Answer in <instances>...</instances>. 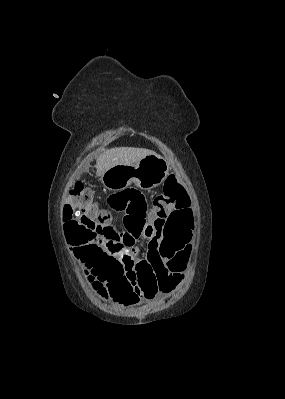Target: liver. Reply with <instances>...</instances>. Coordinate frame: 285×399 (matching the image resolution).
<instances>
[{"instance_id": "obj_1", "label": "liver", "mask_w": 285, "mask_h": 399, "mask_svg": "<svg viewBox=\"0 0 285 399\" xmlns=\"http://www.w3.org/2000/svg\"><path fill=\"white\" fill-rule=\"evenodd\" d=\"M153 151L134 147H116L107 149L96 160V174L102 176L105 171L116 165H133Z\"/></svg>"}]
</instances>
